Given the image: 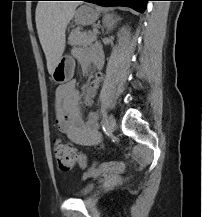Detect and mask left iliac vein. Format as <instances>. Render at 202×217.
<instances>
[{
    "mask_svg": "<svg viewBox=\"0 0 202 217\" xmlns=\"http://www.w3.org/2000/svg\"><path fill=\"white\" fill-rule=\"evenodd\" d=\"M116 121L112 115H109L105 120V127L108 133H112L115 129Z\"/></svg>",
    "mask_w": 202,
    "mask_h": 217,
    "instance_id": "1",
    "label": "left iliac vein"
}]
</instances>
